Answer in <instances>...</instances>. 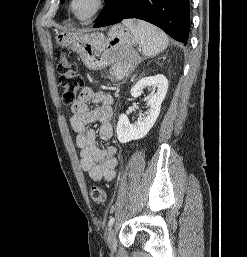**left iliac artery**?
<instances>
[{
	"label": "left iliac artery",
	"instance_id": "1",
	"mask_svg": "<svg viewBox=\"0 0 247 257\" xmlns=\"http://www.w3.org/2000/svg\"><path fill=\"white\" fill-rule=\"evenodd\" d=\"M114 220H115L114 217H111V218H110V220H109V222H108V227H109V228H111V226L113 225Z\"/></svg>",
	"mask_w": 247,
	"mask_h": 257
}]
</instances>
